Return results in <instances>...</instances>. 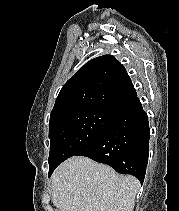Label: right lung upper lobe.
<instances>
[{
	"instance_id": "1",
	"label": "right lung upper lobe",
	"mask_w": 179,
	"mask_h": 211,
	"mask_svg": "<svg viewBox=\"0 0 179 211\" xmlns=\"http://www.w3.org/2000/svg\"><path fill=\"white\" fill-rule=\"evenodd\" d=\"M124 66L111 55L87 62L62 87L50 123L87 109L118 111L136 96Z\"/></svg>"
}]
</instances>
